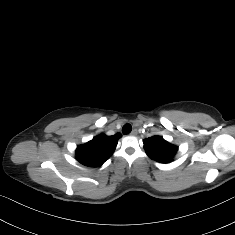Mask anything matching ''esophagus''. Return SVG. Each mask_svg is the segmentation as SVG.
<instances>
[{
    "mask_svg": "<svg viewBox=\"0 0 235 235\" xmlns=\"http://www.w3.org/2000/svg\"><path fill=\"white\" fill-rule=\"evenodd\" d=\"M138 131L137 129H133L132 132L130 133L131 136L137 135Z\"/></svg>",
    "mask_w": 235,
    "mask_h": 235,
    "instance_id": "esophagus-1",
    "label": "esophagus"
}]
</instances>
